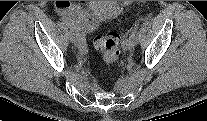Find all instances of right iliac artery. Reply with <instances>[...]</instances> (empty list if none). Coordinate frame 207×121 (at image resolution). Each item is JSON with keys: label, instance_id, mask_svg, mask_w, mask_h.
I'll return each instance as SVG.
<instances>
[{"label": "right iliac artery", "instance_id": "82829eb1", "mask_svg": "<svg viewBox=\"0 0 207 121\" xmlns=\"http://www.w3.org/2000/svg\"><path fill=\"white\" fill-rule=\"evenodd\" d=\"M62 21L65 24H67V26L70 28V30H73L76 33V35L78 37L79 48L86 49L85 38H84V35L80 32L79 28H77L73 22L69 21L65 17L62 18Z\"/></svg>", "mask_w": 207, "mask_h": 121}]
</instances>
